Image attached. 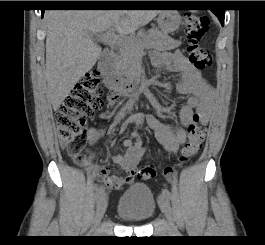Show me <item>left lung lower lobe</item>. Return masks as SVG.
<instances>
[{
	"mask_svg": "<svg viewBox=\"0 0 265 245\" xmlns=\"http://www.w3.org/2000/svg\"><path fill=\"white\" fill-rule=\"evenodd\" d=\"M220 20L222 26H224V16H225V10L224 9H212L211 10Z\"/></svg>",
	"mask_w": 265,
	"mask_h": 245,
	"instance_id": "1",
	"label": "left lung lower lobe"
}]
</instances>
